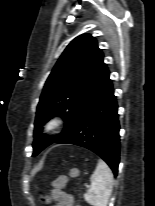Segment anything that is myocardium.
<instances>
[{"label": "myocardium", "instance_id": "obj_1", "mask_svg": "<svg viewBox=\"0 0 155 206\" xmlns=\"http://www.w3.org/2000/svg\"><path fill=\"white\" fill-rule=\"evenodd\" d=\"M64 124V118L61 115L51 116L45 123L44 129L46 132H54Z\"/></svg>", "mask_w": 155, "mask_h": 206}]
</instances>
